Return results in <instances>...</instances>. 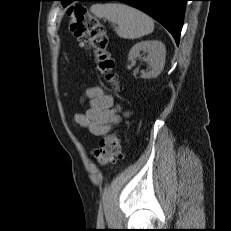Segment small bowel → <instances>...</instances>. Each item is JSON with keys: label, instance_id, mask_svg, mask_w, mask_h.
Instances as JSON below:
<instances>
[{"label": "small bowel", "instance_id": "small-bowel-1", "mask_svg": "<svg viewBox=\"0 0 231 231\" xmlns=\"http://www.w3.org/2000/svg\"><path fill=\"white\" fill-rule=\"evenodd\" d=\"M84 99L89 101V108L84 113L75 115L76 126L86 129L91 135L103 136L120 122V108L115 106L112 96L101 87L88 88Z\"/></svg>", "mask_w": 231, "mask_h": 231}]
</instances>
